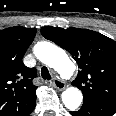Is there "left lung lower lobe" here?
<instances>
[{
    "label": "left lung lower lobe",
    "mask_w": 116,
    "mask_h": 116,
    "mask_svg": "<svg viewBox=\"0 0 116 116\" xmlns=\"http://www.w3.org/2000/svg\"><path fill=\"white\" fill-rule=\"evenodd\" d=\"M116 112V102L100 99H84L79 111L72 116H112Z\"/></svg>",
    "instance_id": "left-lung-lower-lobe-1"
}]
</instances>
